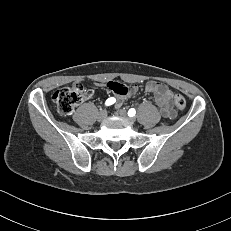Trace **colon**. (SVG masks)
I'll list each match as a JSON object with an SVG mask.
<instances>
[{
	"instance_id": "obj_1",
	"label": "colon",
	"mask_w": 231,
	"mask_h": 231,
	"mask_svg": "<svg viewBox=\"0 0 231 231\" xmlns=\"http://www.w3.org/2000/svg\"><path fill=\"white\" fill-rule=\"evenodd\" d=\"M88 95L89 92L81 84H74L56 90L52 99L60 114L69 115ZM174 104L178 109L182 110L186 107V100L182 95L177 94L174 97Z\"/></svg>"
}]
</instances>
